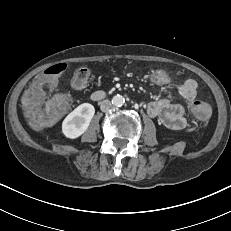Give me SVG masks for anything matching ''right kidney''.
Wrapping results in <instances>:
<instances>
[{"label": "right kidney", "instance_id": "obj_1", "mask_svg": "<svg viewBox=\"0 0 231 231\" xmlns=\"http://www.w3.org/2000/svg\"><path fill=\"white\" fill-rule=\"evenodd\" d=\"M95 108L90 103H83L75 108L63 121L62 133L69 139L80 137L89 127Z\"/></svg>", "mask_w": 231, "mask_h": 231}]
</instances>
